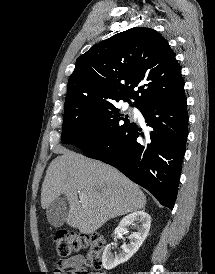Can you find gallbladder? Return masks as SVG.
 <instances>
[{
  "label": "gallbladder",
  "mask_w": 215,
  "mask_h": 274,
  "mask_svg": "<svg viewBox=\"0 0 215 274\" xmlns=\"http://www.w3.org/2000/svg\"><path fill=\"white\" fill-rule=\"evenodd\" d=\"M68 213L67 203L64 199L56 198L47 208L46 217L48 222L54 227L63 225Z\"/></svg>",
  "instance_id": "obj_1"
}]
</instances>
